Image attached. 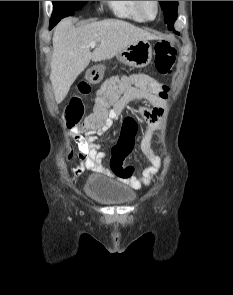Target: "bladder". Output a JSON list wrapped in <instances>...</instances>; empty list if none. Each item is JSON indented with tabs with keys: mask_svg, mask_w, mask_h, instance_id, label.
<instances>
[{
	"mask_svg": "<svg viewBox=\"0 0 233 295\" xmlns=\"http://www.w3.org/2000/svg\"><path fill=\"white\" fill-rule=\"evenodd\" d=\"M83 190L88 198L106 205H127L137 197L131 187L99 174L89 177Z\"/></svg>",
	"mask_w": 233,
	"mask_h": 295,
	"instance_id": "1",
	"label": "bladder"
}]
</instances>
